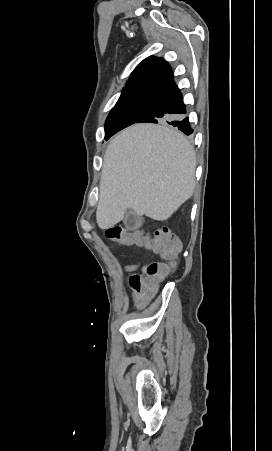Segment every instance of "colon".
Here are the masks:
<instances>
[{"mask_svg":"<svg viewBox=\"0 0 272 451\" xmlns=\"http://www.w3.org/2000/svg\"><path fill=\"white\" fill-rule=\"evenodd\" d=\"M105 236L113 242H126L127 239H133L139 249H153L152 253L162 256L163 260H176V252L181 249L179 239L168 229L157 230L153 233L150 230H127L125 232L123 227L113 226L105 231ZM174 269V262H146L141 273L130 274L128 287L129 289H139V297H152L153 289H161L162 278L167 277V271H174Z\"/></svg>","mask_w":272,"mask_h":451,"instance_id":"obj_1","label":"colon"}]
</instances>
